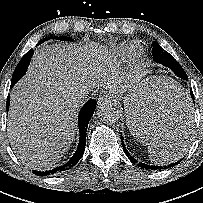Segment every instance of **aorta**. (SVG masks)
Here are the masks:
<instances>
[{
    "label": "aorta",
    "instance_id": "1",
    "mask_svg": "<svg viewBox=\"0 0 203 203\" xmlns=\"http://www.w3.org/2000/svg\"><path fill=\"white\" fill-rule=\"evenodd\" d=\"M98 118L105 124H113L118 121L119 114L111 104H103L98 108Z\"/></svg>",
    "mask_w": 203,
    "mask_h": 203
}]
</instances>
